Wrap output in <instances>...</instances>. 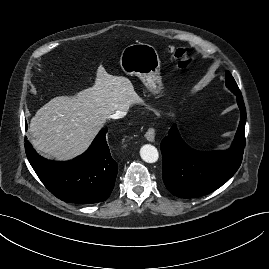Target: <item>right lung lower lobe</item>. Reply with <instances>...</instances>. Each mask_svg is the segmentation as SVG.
<instances>
[{
    "label": "right lung lower lobe",
    "mask_w": 269,
    "mask_h": 269,
    "mask_svg": "<svg viewBox=\"0 0 269 269\" xmlns=\"http://www.w3.org/2000/svg\"><path fill=\"white\" fill-rule=\"evenodd\" d=\"M106 133L107 129H102L88 150L70 161L46 160L28 141L26 155L41 182L57 198L69 203L102 202L111 194L118 170L106 142Z\"/></svg>",
    "instance_id": "98d812e1"
}]
</instances>
